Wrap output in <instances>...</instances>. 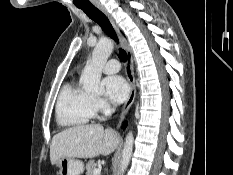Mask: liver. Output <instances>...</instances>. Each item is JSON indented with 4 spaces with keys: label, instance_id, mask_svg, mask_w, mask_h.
Returning <instances> with one entry per match:
<instances>
[{
    "label": "liver",
    "instance_id": "1",
    "mask_svg": "<svg viewBox=\"0 0 233 175\" xmlns=\"http://www.w3.org/2000/svg\"><path fill=\"white\" fill-rule=\"evenodd\" d=\"M119 137L99 124L77 125L56 134L50 145L51 164L60 158H93L111 154Z\"/></svg>",
    "mask_w": 233,
    "mask_h": 175
}]
</instances>
